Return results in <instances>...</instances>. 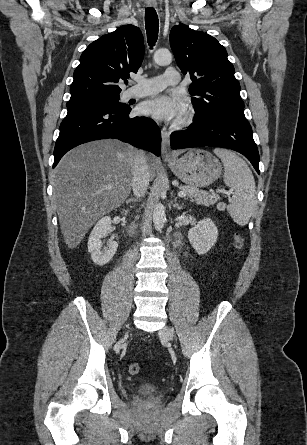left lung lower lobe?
Here are the masks:
<instances>
[{
	"mask_svg": "<svg viewBox=\"0 0 307 445\" xmlns=\"http://www.w3.org/2000/svg\"><path fill=\"white\" fill-rule=\"evenodd\" d=\"M170 141L172 149L215 146L235 150L246 156L260 174L258 149L245 118L215 116L194 122L187 130L173 132Z\"/></svg>",
	"mask_w": 307,
	"mask_h": 445,
	"instance_id": "left-lung-lower-lobe-1",
	"label": "left lung lower lobe"
}]
</instances>
